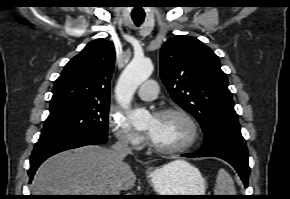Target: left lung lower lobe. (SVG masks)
I'll return each instance as SVG.
<instances>
[{
	"mask_svg": "<svg viewBox=\"0 0 290 199\" xmlns=\"http://www.w3.org/2000/svg\"><path fill=\"white\" fill-rule=\"evenodd\" d=\"M186 157L213 156L230 163L240 175L244 186H248L250 168L248 150L241 134H221L213 141L205 143L197 154H186Z\"/></svg>",
	"mask_w": 290,
	"mask_h": 199,
	"instance_id": "1",
	"label": "left lung lower lobe"
}]
</instances>
